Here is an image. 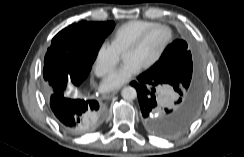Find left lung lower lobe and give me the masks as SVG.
<instances>
[{
    "mask_svg": "<svg viewBox=\"0 0 244 157\" xmlns=\"http://www.w3.org/2000/svg\"><path fill=\"white\" fill-rule=\"evenodd\" d=\"M131 83L137 90L138 101L145 128L165 138L176 137L185 132L195 120L202 101L203 84L190 96L180 97L174 104L162 108L161 91L167 84L162 76L144 72Z\"/></svg>",
    "mask_w": 244,
    "mask_h": 157,
    "instance_id": "1",
    "label": "left lung lower lobe"
}]
</instances>
